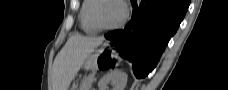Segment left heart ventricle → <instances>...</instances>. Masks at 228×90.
<instances>
[{
	"label": "left heart ventricle",
	"mask_w": 228,
	"mask_h": 90,
	"mask_svg": "<svg viewBox=\"0 0 228 90\" xmlns=\"http://www.w3.org/2000/svg\"><path fill=\"white\" fill-rule=\"evenodd\" d=\"M98 21L104 26L117 23L122 17V7L115 1H104L98 5L96 11Z\"/></svg>",
	"instance_id": "b2bd125f"
}]
</instances>
